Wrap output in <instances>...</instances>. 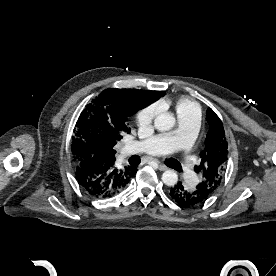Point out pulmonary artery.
<instances>
[{
  "label": "pulmonary artery",
  "mask_w": 276,
  "mask_h": 276,
  "mask_svg": "<svg viewBox=\"0 0 276 276\" xmlns=\"http://www.w3.org/2000/svg\"><path fill=\"white\" fill-rule=\"evenodd\" d=\"M199 120V113L196 112L178 114L179 127L177 130L158 134L141 142L128 143L125 145V151L131 152L132 148H137L151 155H165L186 150L194 142ZM185 166L190 169L193 167V163L186 161ZM195 180L197 179L190 178L188 183L193 184Z\"/></svg>",
  "instance_id": "1"
}]
</instances>
